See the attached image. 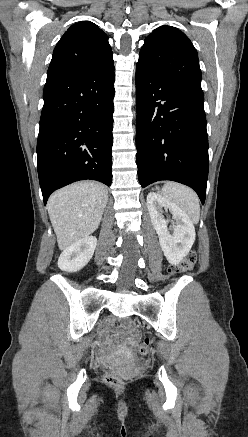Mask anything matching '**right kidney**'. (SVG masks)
<instances>
[{"instance_id": "right-kidney-1", "label": "right kidney", "mask_w": 248, "mask_h": 437, "mask_svg": "<svg viewBox=\"0 0 248 437\" xmlns=\"http://www.w3.org/2000/svg\"><path fill=\"white\" fill-rule=\"evenodd\" d=\"M97 245L94 236L85 237L67 247L58 259V267L67 272L81 270L92 258Z\"/></svg>"}]
</instances>
